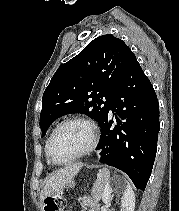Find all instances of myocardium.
<instances>
[{
  "label": "myocardium",
  "instance_id": "f54148a6",
  "mask_svg": "<svg viewBox=\"0 0 179 211\" xmlns=\"http://www.w3.org/2000/svg\"><path fill=\"white\" fill-rule=\"evenodd\" d=\"M72 122H80V123H83L86 126H88V128L90 129V133H91L90 143L85 150H83L82 152H80L79 154L74 156L73 158H71L67 161H62V162L57 161L54 159V157L52 156V153H51L52 142H53L54 137L56 136L57 132L64 125H66L68 123H72ZM98 139H99L98 128H97L96 124L91 119L84 117V116L68 117V118L64 119L63 121H61L51 132V134L47 140V144H46V156H47L49 162L53 165H56V166L68 165V164H71V163L89 155L91 152H93L98 144Z\"/></svg>",
  "mask_w": 179,
  "mask_h": 211
}]
</instances>
